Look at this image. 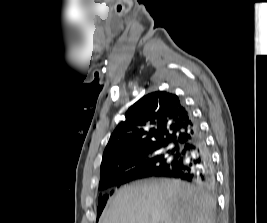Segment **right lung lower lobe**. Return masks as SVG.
Here are the masks:
<instances>
[{
  "mask_svg": "<svg viewBox=\"0 0 267 223\" xmlns=\"http://www.w3.org/2000/svg\"><path fill=\"white\" fill-rule=\"evenodd\" d=\"M197 135L179 151L176 162L167 169L153 175L154 177H166L181 179L196 183L206 188H213L215 176L210 152L205 139L196 128ZM141 179L134 174H121L108 179L102 189L111 186H120L132 180Z\"/></svg>",
  "mask_w": 267,
  "mask_h": 223,
  "instance_id": "98d812e1",
  "label": "right lung lower lobe"
}]
</instances>
